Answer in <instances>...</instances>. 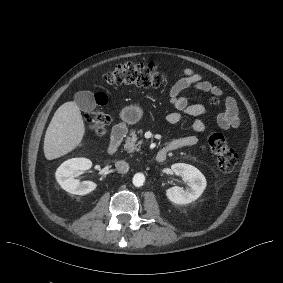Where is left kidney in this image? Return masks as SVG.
Listing matches in <instances>:
<instances>
[{
    "instance_id": "1",
    "label": "left kidney",
    "mask_w": 283,
    "mask_h": 283,
    "mask_svg": "<svg viewBox=\"0 0 283 283\" xmlns=\"http://www.w3.org/2000/svg\"><path fill=\"white\" fill-rule=\"evenodd\" d=\"M174 174L188 183V188L175 186L166 190V196L175 204H188L198 199L206 188L204 175L194 166L185 163H176L171 166Z\"/></svg>"
}]
</instances>
